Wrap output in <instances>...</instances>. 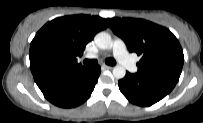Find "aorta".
<instances>
[{"label": "aorta", "instance_id": "1", "mask_svg": "<svg viewBox=\"0 0 203 123\" xmlns=\"http://www.w3.org/2000/svg\"><path fill=\"white\" fill-rule=\"evenodd\" d=\"M94 41L97 47L103 50L109 49L112 42L111 36L106 32H99L98 34H96ZM112 73L116 79H122L125 77L126 70L123 66L116 65L113 68Z\"/></svg>", "mask_w": 203, "mask_h": 123}]
</instances>
